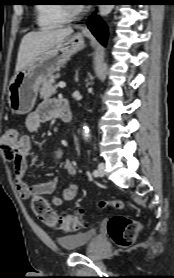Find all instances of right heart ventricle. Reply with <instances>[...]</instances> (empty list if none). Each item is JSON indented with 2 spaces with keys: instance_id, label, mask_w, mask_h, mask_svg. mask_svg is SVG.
I'll list each match as a JSON object with an SVG mask.
<instances>
[{
  "instance_id": "e07e8e85",
  "label": "right heart ventricle",
  "mask_w": 174,
  "mask_h": 278,
  "mask_svg": "<svg viewBox=\"0 0 174 278\" xmlns=\"http://www.w3.org/2000/svg\"><path fill=\"white\" fill-rule=\"evenodd\" d=\"M37 24L41 30L58 28L68 22L60 4H39L36 7Z\"/></svg>"
}]
</instances>
